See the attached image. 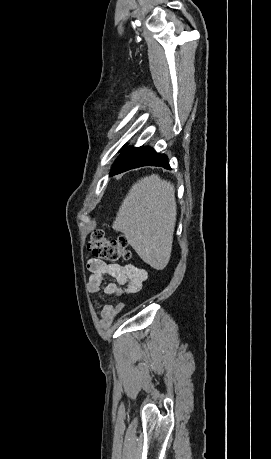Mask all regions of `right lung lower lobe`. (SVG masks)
I'll list each match as a JSON object with an SVG mask.
<instances>
[{
	"label": "right lung lower lobe",
	"instance_id": "right-lung-lower-lobe-1",
	"mask_svg": "<svg viewBox=\"0 0 271 459\" xmlns=\"http://www.w3.org/2000/svg\"><path fill=\"white\" fill-rule=\"evenodd\" d=\"M142 166H161L169 169L168 158L150 147L126 148L115 161L111 176Z\"/></svg>",
	"mask_w": 271,
	"mask_h": 459
}]
</instances>
